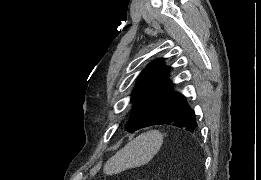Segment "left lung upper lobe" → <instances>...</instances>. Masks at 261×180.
Instances as JSON below:
<instances>
[{"label":"left lung upper lobe","instance_id":"obj_1","mask_svg":"<svg viewBox=\"0 0 261 180\" xmlns=\"http://www.w3.org/2000/svg\"><path fill=\"white\" fill-rule=\"evenodd\" d=\"M169 68L163 59L152 61L141 72L140 79L131 95L133 111L126 130L130 133L151 126L172 104L178 93L173 92L168 80Z\"/></svg>","mask_w":261,"mask_h":180}]
</instances>
